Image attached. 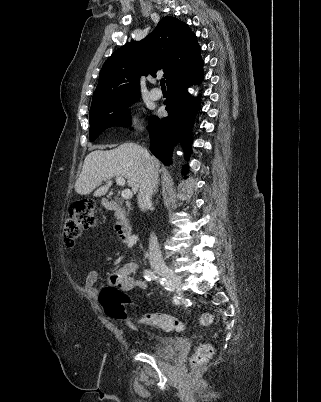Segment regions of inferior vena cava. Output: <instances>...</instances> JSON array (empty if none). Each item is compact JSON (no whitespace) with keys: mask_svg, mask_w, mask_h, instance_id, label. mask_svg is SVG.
Masks as SVG:
<instances>
[{"mask_svg":"<svg viewBox=\"0 0 321 402\" xmlns=\"http://www.w3.org/2000/svg\"><path fill=\"white\" fill-rule=\"evenodd\" d=\"M158 179V172L152 162L151 156L147 150H145V170L143 178L139 186V192L137 196L138 205L142 211L151 204V198L153 190L156 186ZM149 260L151 266L164 267L165 262L161 254L160 246L157 237L154 233L150 235L149 239Z\"/></svg>","mask_w":321,"mask_h":402,"instance_id":"1","label":"inferior vena cava"}]
</instances>
